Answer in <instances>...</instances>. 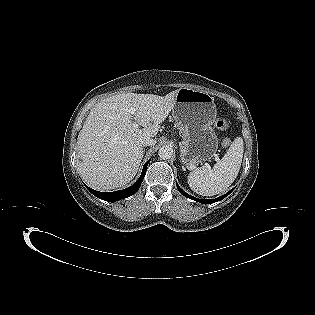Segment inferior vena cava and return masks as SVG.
<instances>
[{
    "label": "inferior vena cava",
    "mask_w": 315,
    "mask_h": 315,
    "mask_svg": "<svg viewBox=\"0 0 315 315\" xmlns=\"http://www.w3.org/2000/svg\"><path fill=\"white\" fill-rule=\"evenodd\" d=\"M142 144L144 146H152V145H155L156 144V140L155 139H152V138H149V137H146L142 140Z\"/></svg>",
    "instance_id": "1"
}]
</instances>
